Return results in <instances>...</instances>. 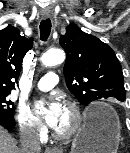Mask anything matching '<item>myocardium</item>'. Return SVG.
Instances as JSON below:
<instances>
[{
	"mask_svg": "<svg viewBox=\"0 0 130 153\" xmlns=\"http://www.w3.org/2000/svg\"><path fill=\"white\" fill-rule=\"evenodd\" d=\"M63 106L70 111L72 115V122L69 128L64 131H59L52 128V136L61 141L72 138L79 130L83 121L81 110L75 102L66 100L63 102Z\"/></svg>",
	"mask_w": 130,
	"mask_h": 153,
	"instance_id": "myocardium-1",
	"label": "myocardium"
}]
</instances>
